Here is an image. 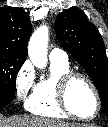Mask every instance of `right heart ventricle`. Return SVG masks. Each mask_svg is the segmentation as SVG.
Here are the masks:
<instances>
[{
  "label": "right heart ventricle",
  "mask_w": 108,
  "mask_h": 127,
  "mask_svg": "<svg viewBox=\"0 0 108 127\" xmlns=\"http://www.w3.org/2000/svg\"><path fill=\"white\" fill-rule=\"evenodd\" d=\"M70 71L69 63L53 62L50 75L41 79L35 86L33 94L26 103L27 110L42 117L67 118L57 98V84L62 75Z\"/></svg>",
  "instance_id": "e07e8e85"
}]
</instances>
